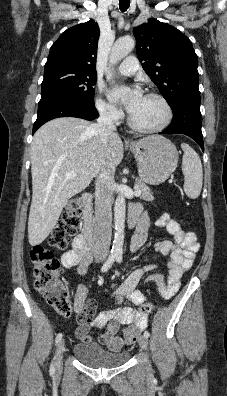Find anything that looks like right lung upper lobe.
Returning <instances> with one entry per match:
<instances>
[{
    "instance_id": "obj_1",
    "label": "right lung upper lobe",
    "mask_w": 227,
    "mask_h": 396,
    "mask_svg": "<svg viewBox=\"0 0 227 396\" xmlns=\"http://www.w3.org/2000/svg\"><path fill=\"white\" fill-rule=\"evenodd\" d=\"M99 35L98 24L93 20L67 29L51 46L44 71L65 69L96 74Z\"/></svg>"
}]
</instances>
